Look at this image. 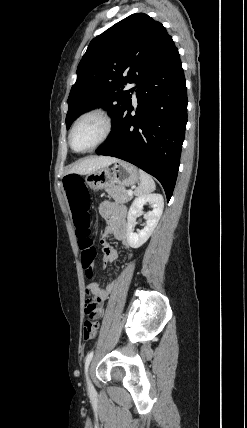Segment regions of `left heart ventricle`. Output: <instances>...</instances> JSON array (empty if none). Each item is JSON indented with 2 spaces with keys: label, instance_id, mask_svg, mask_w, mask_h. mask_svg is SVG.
Instances as JSON below:
<instances>
[{
  "label": "left heart ventricle",
  "instance_id": "1",
  "mask_svg": "<svg viewBox=\"0 0 247 428\" xmlns=\"http://www.w3.org/2000/svg\"><path fill=\"white\" fill-rule=\"evenodd\" d=\"M104 123L99 117H87L80 121L73 133L72 142L77 149L93 146L104 133Z\"/></svg>",
  "mask_w": 247,
  "mask_h": 428
}]
</instances>
